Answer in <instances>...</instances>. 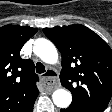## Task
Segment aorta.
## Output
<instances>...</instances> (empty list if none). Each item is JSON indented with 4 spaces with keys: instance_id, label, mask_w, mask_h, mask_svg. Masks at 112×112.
<instances>
[{
    "instance_id": "1",
    "label": "aorta",
    "mask_w": 112,
    "mask_h": 112,
    "mask_svg": "<svg viewBox=\"0 0 112 112\" xmlns=\"http://www.w3.org/2000/svg\"><path fill=\"white\" fill-rule=\"evenodd\" d=\"M33 52L45 63L55 64L58 61V52L54 44L44 38L34 42ZM54 104L60 108H67L72 102V95L66 89H57L53 92Z\"/></svg>"
}]
</instances>
